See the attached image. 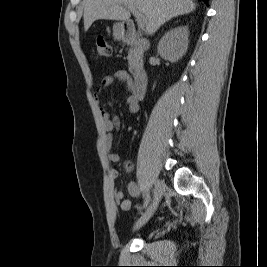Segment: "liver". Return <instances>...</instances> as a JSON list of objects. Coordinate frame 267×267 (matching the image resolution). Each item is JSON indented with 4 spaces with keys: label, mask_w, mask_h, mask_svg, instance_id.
Returning a JSON list of instances; mask_svg holds the SVG:
<instances>
[{
    "label": "liver",
    "mask_w": 267,
    "mask_h": 267,
    "mask_svg": "<svg viewBox=\"0 0 267 267\" xmlns=\"http://www.w3.org/2000/svg\"><path fill=\"white\" fill-rule=\"evenodd\" d=\"M127 7H134L145 16L146 32L151 35L172 18L193 12L196 4L192 0H83L84 30L99 19L128 20Z\"/></svg>",
    "instance_id": "liver-1"
}]
</instances>
